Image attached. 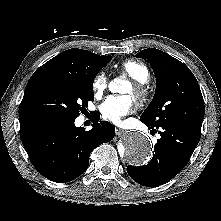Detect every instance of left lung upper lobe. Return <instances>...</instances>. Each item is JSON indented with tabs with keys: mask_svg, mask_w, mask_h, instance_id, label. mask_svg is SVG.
<instances>
[{
	"mask_svg": "<svg viewBox=\"0 0 221 221\" xmlns=\"http://www.w3.org/2000/svg\"><path fill=\"white\" fill-rule=\"evenodd\" d=\"M147 59L156 77L154 98L140 119L149 129L180 123L201 132L205 105L190 69L167 53L148 48L136 54Z\"/></svg>",
	"mask_w": 221,
	"mask_h": 221,
	"instance_id": "5c2ea615",
	"label": "left lung upper lobe"
}]
</instances>
